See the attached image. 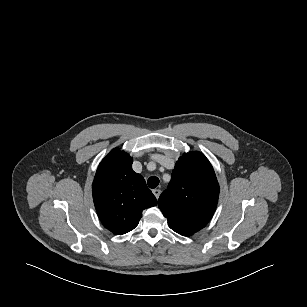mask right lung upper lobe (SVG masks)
Segmentation results:
<instances>
[{"label":"right lung upper lobe","mask_w":307,"mask_h":307,"mask_svg":"<svg viewBox=\"0 0 307 307\" xmlns=\"http://www.w3.org/2000/svg\"><path fill=\"white\" fill-rule=\"evenodd\" d=\"M133 159L118 148L100 163L92 185L97 214L114 234L133 230L142 211L157 205L144 178L132 170Z\"/></svg>","instance_id":"right-lung-upper-lobe-1"}]
</instances>
